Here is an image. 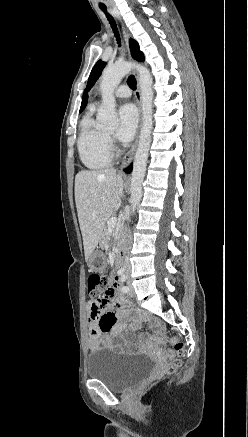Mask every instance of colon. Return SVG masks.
Returning a JSON list of instances; mask_svg holds the SVG:
<instances>
[{"mask_svg":"<svg viewBox=\"0 0 248 437\" xmlns=\"http://www.w3.org/2000/svg\"><path fill=\"white\" fill-rule=\"evenodd\" d=\"M110 279L103 274H92L88 279V293L91 297L99 299L109 289ZM170 347L166 350L169 363L166 368L168 374L175 373L181 366L180 356L184 352V344L176 337H170Z\"/></svg>","mask_w":248,"mask_h":437,"instance_id":"obj_1","label":"colon"}]
</instances>
